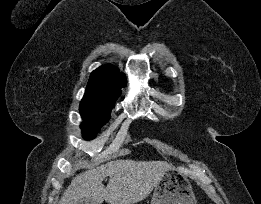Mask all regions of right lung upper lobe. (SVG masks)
<instances>
[{"instance_id":"cb5924a9","label":"right lung upper lobe","mask_w":261,"mask_h":204,"mask_svg":"<svg viewBox=\"0 0 261 204\" xmlns=\"http://www.w3.org/2000/svg\"><path fill=\"white\" fill-rule=\"evenodd\" d=\"M125 85V77L112 65L101 66L91 73L81 103L97 106H114Z\"/></svg>"}]
</instances>
